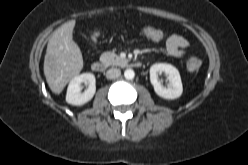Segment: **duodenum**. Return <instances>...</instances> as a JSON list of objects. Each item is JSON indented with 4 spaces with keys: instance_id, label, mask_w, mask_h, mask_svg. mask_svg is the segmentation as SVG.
Listing matches in <instances>:
<instances>
[{
    "instance_id": "duodenum-1",
    "label": "duodenum",
    "mask_w": 248,
    "mask_h": 165,
    "mask_svg": "<svg viewBox=\"0 0 248 165\" xmlns=\"http://www.w3.org/2000/svg\"><path fill=\"white\" fill-rule=\"evenodd\" d=\"M131 66L132 67H135V68H138L141 66V63L140 62H132L131 63ZM91 69L96 72V73H102L105 71L106 69V63L102 60H95L92 62L91 64Z\"/></svg>"
}]
</instances>
